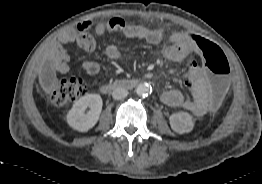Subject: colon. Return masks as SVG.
<instances>
[{
  "mask_svg": "<svg viewBox=\"0 0 262 184\" xmlns=\"http://www.w3.org/2000/svg\"><path fill=\"white\" fill-rule=\"evenodd\" d=\"M107 26L116 32L133 27L131 23L121 18H113ZM198 48L200 64L208 72L207 90L211 108L219 110L223 105L229 86L230 65L222 51L216 44L199 37L195 40ZM86 87L81 78L71 77L59 80L50 92V100L55 106H66L85 93Z\"/></svg>",
  "mask_w": 262,
  "mask_h": 184,
  "instance_id": "obj_1",
  "label": "colon"
}]
</instances>
